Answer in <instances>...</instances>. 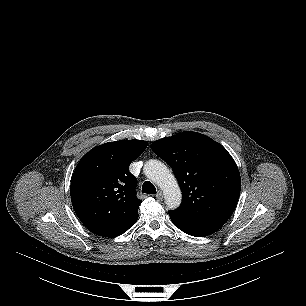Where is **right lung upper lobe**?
Wrapping results in <instances>:
<instances>
[{"mask_svg": "<svg viewBox=\"0 0 306 306\" xmlns=\"http://www.w3.org/2000/svg\"><path fill=\"white\" fill-rule=\"evenodd\" d=\"M147 145L141 140L108 142L90 150L78 163L71 179V201L92 233L116 237L137 221L141 200L136 197L137 179L129 165Z\"/></svg>", "mask_w": 306, "mask_h": 306, "instance_id": "obj_1", "label": "right lung upper lobe"}]
</instances>
